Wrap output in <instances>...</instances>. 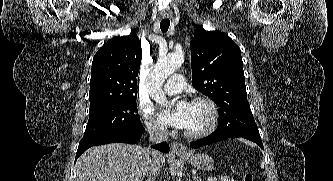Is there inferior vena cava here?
Returning <instances> with one entry per match:
<instances>
[{"instance_id": "602c4592", "label": "inferior vena cava", "mask_w": 333, "mask_h": 181, "mask_svg": "<svg viewBox=\"0 0 333 181\" xmlns=\"http://www.w3.org/2000/svg\"><path fill=\"white\" fill-rule=\"evenodd\" d=\"M148 133L149 141L153 144L164 142L168 139L167 131L162 126L152 125L148 128ZM151 154L152 158L149 159L146 173L148 177H155L160 169L158 158L161 156V154L155 151H152Z\"/></svg>"}]
</instances>
